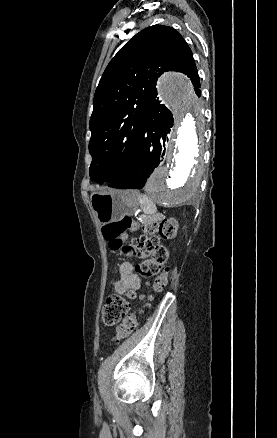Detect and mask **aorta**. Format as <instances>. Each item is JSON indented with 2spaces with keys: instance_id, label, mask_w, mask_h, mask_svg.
<instances>
[{
  "instance_id": "aorta-1",
  "label": "aorta",
  "mask_w": 277,
  "mask_h": 438,
  "mask_svg": "<svg viewBox=\"0 0 277 438\" xmlns=\"http://www.w3.org/2000/svg\"><path fill=\"white\" fill-rule=\"evenodd\" d=\"M159 96L173 111L175 125L165 164L154 171L146 190L158 203L172 207L189 200L199 187L204 118L190 82L182 74H166L159 84Z\"/></svg>"
}]
</instances>
